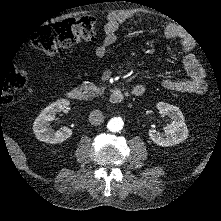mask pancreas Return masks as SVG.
Instances as JSON below:
<instances>
[{
    "instance_id": "obj_1",
    "label": "pancreas",
    "mask_w": 221,
    "mask_h": 221,
    "mask_svg": "<svg viewBox=\"0 0 221 221\" xmlns=\"http://www.w3.org/2000/svg\"><path fill=\"white\" fill-rule=\"evenodd\" d=\"M79 89L83 91V99L87 100L89 98L96 97L103 94V89L97 87L95 84H85L83 83Z\"/></svg>"
}]
</instances>
